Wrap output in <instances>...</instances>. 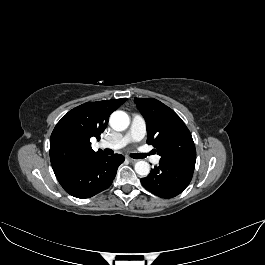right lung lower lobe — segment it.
Returning <instances> with one entry per match:
<instances>
[{
	"label": "right lung lower lobe",
	"mask_w": 265,
	"mask_h": 265,
	"mask_svg": "<svg viewBox=\"0 0 265 265\" xmlns=\"http://www.w3.org/2000/svg\"><path fill=\"white\" fill-rule=\"evenodd\" d=\"M124 156L98 155L88 162L56 176L63 189L76 198H90L107 189L115 178Z\"/></svg>",
	"instance_id": "obj_1"
}]
</instances>
